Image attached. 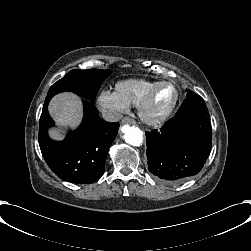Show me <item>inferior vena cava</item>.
<instances>
[{
    "instance_id": "1",
    "label": "inferior vena cava",
    "mask_w": 251,
    "mask_h": 251,
    "mask_svg": "<svg viewBox=\"0 0 251 251\" xmlns=\"http://www.w3.org/2000/svg\"><path fill=\"white\" fill-rule=\"evenodd\" d=\"M102 116L103 119L108 121V122H116L122 119L123 115L117 111L109 110V109H104L102 111Z\"/></svg>"
}]
</instances>
